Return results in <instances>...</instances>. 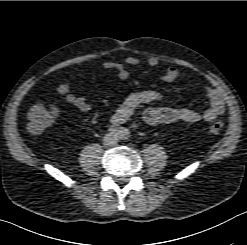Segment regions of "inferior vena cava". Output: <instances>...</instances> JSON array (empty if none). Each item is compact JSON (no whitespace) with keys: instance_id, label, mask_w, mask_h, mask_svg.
Listing matches in <instances>:
<instances>
[{"instance_id":"602c4592","label":"inferior vena cava","mask_w":247,"mask_h":245,"mask_svg":"<svg viewBox=\"0 0 247 245\" xmlns=\"http://www.w3.org/2000/svg\"><path fill=\"white\" fill-rule=\"evenodd\" d=\"M104 142L107 146H113L117 143V139L113 135L107 134L104 138Z\"/></svg>"}]
</instances>
